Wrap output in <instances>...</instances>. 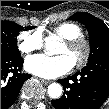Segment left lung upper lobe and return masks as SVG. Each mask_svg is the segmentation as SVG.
Returning a JSON list of instances; mask_svg holds the SVG:
<instances>
[{"label":"left lung upper lobe","instance_id":"1","mask_svg":"<svg viewBox=\"0 0 109 109\" xmlns=\"http://www.w3.org/2000/svg\"><path fill=\"white\" fill-rule=\"evenodd\" d=\"M69 19L81 22L89 32L91 46L89 61L109 55V28L104 22L86 12L75 13ZM64 94L66 100L72 104L81 99V90L78 87L71 88Z\"/></svg>","mask_w":109,"mask_h":109}]
</instances>
